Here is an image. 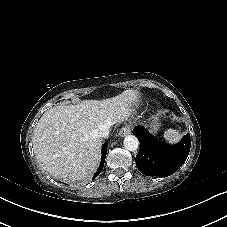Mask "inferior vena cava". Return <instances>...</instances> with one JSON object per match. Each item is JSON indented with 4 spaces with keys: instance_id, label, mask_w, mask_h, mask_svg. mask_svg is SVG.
Returning <instances> with one entry per match:
<instances>
[{
    "instance_id": "obj_1",
    "label": "inferior vena cava",
    "mask_w": 227,
    "mask_h": 227,
    "mask_svg": "<svg viewBox=\"0 0 227 227\" xmlns=\"http://www.w3.org/2000/svg\"><path fill=\"white\" fill-rule=\"evenodd\" d=\"M110 129H111V126L103 125L95 131V135L100 139L108 138L110 134Z\"/></svg>"
}]
</instances>
